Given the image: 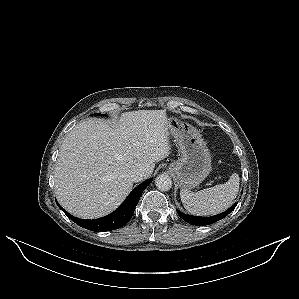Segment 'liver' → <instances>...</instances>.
<instances>
[{"label":"liver","mask_w":299,"mask_h":299,"mask_svg":"<svg viewBox=\"0 0 299 299\" xmlns=\"http://www.w3.org/2000/svg\"><path fill=\"white\" fill-rule=\"evenodd\" d=\"M164 110L121 114L115 125L101 119L77 124L64 138L54 172L55 195L74 216L95 219L114 211L133 187L130 173L151 176L171 153Z\"/></svg>","instance_id":"1"}]
</instances>
